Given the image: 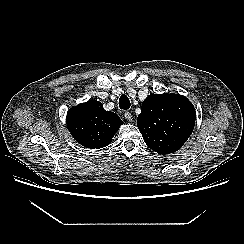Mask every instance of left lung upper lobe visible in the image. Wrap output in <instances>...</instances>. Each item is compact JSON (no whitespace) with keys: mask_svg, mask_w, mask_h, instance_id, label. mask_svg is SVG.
Wrapping results in <instances>:
<instances>
[{"mask_svg":"<svg viewBox=\"0 0 244 244\" xmlns=\"http://www.w3.org/2000/svg\"><path fill=\"white\" fill-rule=\"evenodd\" d=\"M196 112L179 94H151L142 103L137 126L145 143L158 154L179 150L191 135Z\"/></svg>","mask_w":244,"mask_h":244,"instance_id":"1","label":"left lung upper lobe"}]
</instances>
